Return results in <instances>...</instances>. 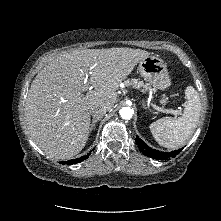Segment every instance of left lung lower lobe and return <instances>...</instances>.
Wrapping results in <instances>:
<instances>
[{"instance_id": "left-lung-lower-lobe-1", "label": "left lung lower lobe", "mask_w": 221, "mask_h": 221, "mask_svg": "<svg viewBox=\"0 0 221 221\" xmlns=\"http://www.w3.org/2000/svg\"><path fill=\"white\" fill-rule=\"evenodd\" d=\"M136 144L138 145L140 151L147 157L157 159V160H167L171 157L176 156L183 149H178L172 152H161L159 150H155L147 146L139 137L135 139Z\"/></svg>"}]
</instances>
